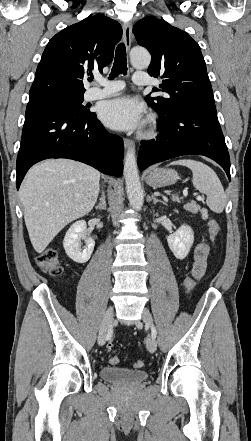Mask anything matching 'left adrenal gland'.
<instances>
[{"mask_svg":"<svg viewBox=\"0 0 251 441\" xmlns=\"http://www.w3.org/2000/svg\"><path fill=\"white\" fill-rule=\"evenodd\" d=\"M151 199L153 200V204H154V205H155L156 203H158V202L165 204V202H163V201L157 199L156 196H155L154 194L151 195Z\"/></svg>","mask_w":251,"mask_h":441,"instance_id":"1","label":"left adrenal gland"}]
</instances>
